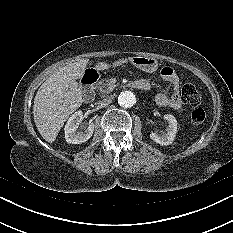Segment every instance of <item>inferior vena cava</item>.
Instances as JSON below:
<instances>
[{"label": "inferior vena cava", "instance_id": "602c4592", "mask_svg": "<svg viewBox=\"0 0 233 233\" xmlns=\"http://www.w3.org/2000/svg\"><path fill=\"white\" fill-rule=\"evenodd\" d=\"M112 102V97H106L99 101L101 106H108Z\"/></svg>", "mask_w": 233, "mask_h": 233}]
</instances>
